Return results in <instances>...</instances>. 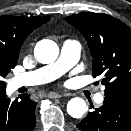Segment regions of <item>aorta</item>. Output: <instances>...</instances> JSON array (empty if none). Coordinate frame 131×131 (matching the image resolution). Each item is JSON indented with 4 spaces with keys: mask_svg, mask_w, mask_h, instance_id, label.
Returning <instances> with one entry per match:
<instances>
[{
    "mask_svg": "<svg viewBox=\"0 0 131 131\" xmlns=\"http://www.w3.org/2000/svg\"><path fill=\"white\" fill-rule=\"evenodd\" d=\"M59 54L58 45L48 39L39 41L34 49L35 58L43 64L53 62ZM88 110L86 102L79 97L72 98L67 104V112L73 118H81Z\"/></svg>",
    "mask_w": 131,
    "mask_h": 131,
    "instance_id": "aorta-1",
    "label": "aorta"
}]
</instances>
